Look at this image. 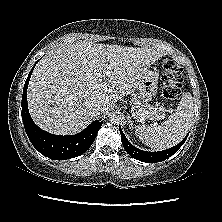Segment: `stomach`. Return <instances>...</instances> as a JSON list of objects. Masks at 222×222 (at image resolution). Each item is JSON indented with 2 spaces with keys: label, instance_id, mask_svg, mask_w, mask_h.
I'll return each mask as SVG.
<instances>
[{
  "label": "stomach",
  "instance_id": "1",
  "mask_svg": "<svg viewBox=\"0 0 222 222\" xmlns=\"http://www.w3.org/2000/svg\"><path fill=\"white\" fill-rule=\"evenodd\" d=\"M157 84L158 74L150 70L145 71L138 86L140 98L151 100L157 93Z\"/></svg>",
  "mask_w": 222,
  "mask_h": 222
}]
</instances>
